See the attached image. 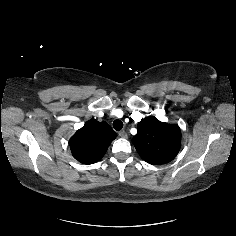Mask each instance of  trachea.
Listing matches in <instances>:
<instances>
[{
    "mask_svg": "<svg viewBox=\"0 0 236 236\" xmlns=\"http://www.w3.org/2000/svg\"><path fill=\"white\" fill-rule=\"evenodd\" d=\"M113 128L117 131H120L123 128V122L121 120L116 119L113 122Z\"/></svg>",
    "mask_w": 236,
    "mask_h": 236,
    "instance_id": "1",
    "label": "trachea"
}]
</instances>
